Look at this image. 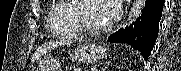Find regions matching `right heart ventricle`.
<instances>
[{"instance_id": "right-heart-ventricle-1", "label": "right heart ventricle", "mask_w": 181, "mask_h": 71, "mask_svg": "<svg viewBox=\"0 0 181 71\" xmlns=\"http://www.w3.org/2000/svg\"><path fill=\"white\" fill-rule=\"evenodd\" d=\"M71 1H55L49 9L47 26L56 35L77 37L80 32L73 21Z\"/></svg>"}]
</instances>
